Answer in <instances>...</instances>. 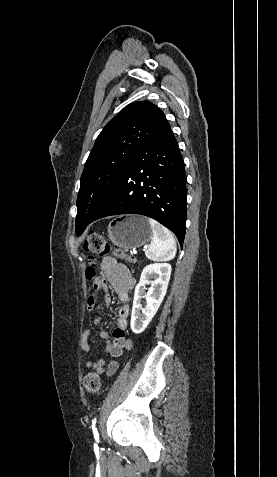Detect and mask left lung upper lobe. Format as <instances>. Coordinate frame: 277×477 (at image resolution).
I'll return each instance as SVG.
<instances>
[{
	"instance_id": "obj_1",
	"label": "left lung upper lobe",
	"mask_w": 277,
	"mask_h": 477,
	"mask_svg": "<svg viewBox=\"0 0 277 477\" xmlns=\"http://www.w3.org/2000/svg\"><path fill=\"white\" fill-rule=\"evenodd\" d=\"M168 124L156 105L140 101L126 106L104 127L80 179L76 234L104 204L128 162Z\"/></svg>"
}]
</instances>
